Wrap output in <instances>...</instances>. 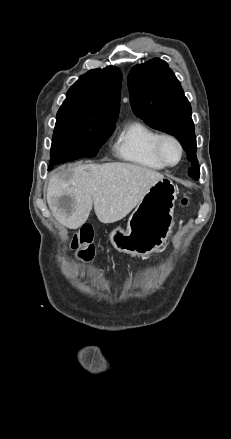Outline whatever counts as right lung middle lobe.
Listing matches in <instances>:
<instances>
[{"mask_svg":"<svg viewBox=\"0 0 231 439\" xmlns=\"http://www.w3.org/2000/svg\"><path fill=\"white\" fill-rule=\"evenodd\" d=\"M114 129V123L87 117L56 118L48 170L60 163L95 157Z\"/></svg>","mask_w":231,"mask_h":439,"instance_id":"right-lung-middle-lobe-1","label":"right lung middle lobe"}]
</instances>
